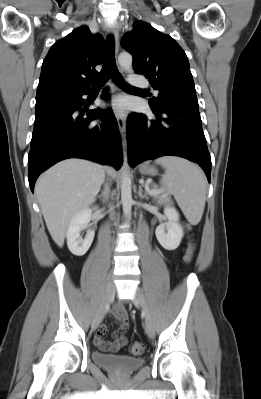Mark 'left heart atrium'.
<instances>
[{"label":"left heart atrium","mask_w":261,"mask_h":399,"mask_svg":"<svg viewBox=\"0 0 261 399\" xmlns=\"http://www.w3.org/2000/svg\"><path fill=\"white\" fill-rule=\"evenodd\" d=\"M113 108H115L116 110H123L126 106V103L123 99H117L113 102L112 104Z\"/></svg>","instance_id":"obj_1"}]
</instances>
